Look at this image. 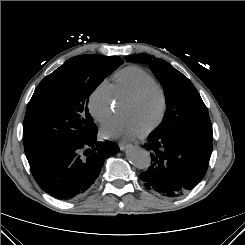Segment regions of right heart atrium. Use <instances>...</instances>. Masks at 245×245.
<instances>
[{"instance_id":"obj_1","label":"right heart atrium","mask_w":245,"mask_h":245,"mask_svg":"<svg viewBox=\"0 0 245 245\" xmlns=\"http://www.w3.org/2000/svg\"><path fill=\"white\" fill-rule=\"evenodd\" d=\"M88 109L98 123H105L112 118L115 109V95L108 81H101L93 89L88 98Z\"/></svg>"}]
</instances>
